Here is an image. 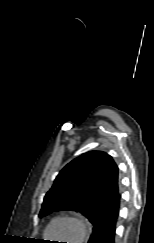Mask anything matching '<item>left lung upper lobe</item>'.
I'll list each match as a JSON object with an SVG mask.
<instances>
[{
  "mask_svg": "<svg viewBox=\"0 0 154 243\" xmlns=\"http://www.w3.org/2000/svg\"><path fill=\"white\" fill-rule=\"evenodd\" d=\"M108 156L101 151H90L68 163L47 192L39 217L53 211L71 210L82 213L94 224L104 209L90 198L89 190Z\"/></svg>",
  "mask_w": 154,
  "mask_h": 243,
  "instance_id": "1",
  "label": "left lung upper lobe"
}]
</instances>
